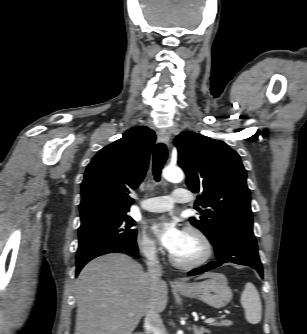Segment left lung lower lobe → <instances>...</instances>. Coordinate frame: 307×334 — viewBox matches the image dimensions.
I'll return each mask as SVG.
<instances>
[{
	"instance_id": "0a47b994",
	"label": "left lung lower lobe",
	"mask_w": 307,
	"mask_h": 334,
	"mask_svg": "<svg viewBox=\"0 0 307 334\" xmlns=\"http://www.w3.org/2000/svg\"><path fill=\"white\" fill-rule=\"evenodd\" d=\"M213 245L215 246L217 261L192 270L189 272V276L209 271L226 262H232L251 266L263 277L262 264L258 256L257 242L252 228L226 227L223 229L221 237Z\"/></svg>"
}]
</instances>
